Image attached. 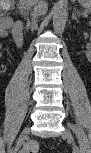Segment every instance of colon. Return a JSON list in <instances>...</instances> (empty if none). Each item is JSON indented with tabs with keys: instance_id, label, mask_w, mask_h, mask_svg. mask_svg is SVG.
Masks as SVG:
<instances>
[{
	"instance_id": "1",
	"label": "colon",
	"mask_w": 91,
	"mask_h": 153,
	"mask_svg": "<svg viewBox=\"0 0 91 153\" xmlns=\"http://www.w3.org/2000/svg\"><path fill=\"white\" fill-rule=\"evenodd\" d=\"M1 26L7 30L10 26V21L6 17H1ZM40 150V143L36 140H30L23 146L21 153H37Z\"/></svg>"
}]
</instances>
